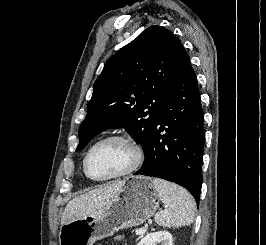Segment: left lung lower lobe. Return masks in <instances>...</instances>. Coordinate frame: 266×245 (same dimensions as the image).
Masks as SVG:
<instances>
[{"label":"left lung lower lobe","instance_id":"0a47b994","mask_svg":"<svg viewBox=\"0 0 266 245\" xmlns=\"http://www.w3.org/2000/svg\"><path fill=\"white\" fill-rule=\"evenodd\" d=\"M203 125L197 77L189 59L160 106L144 151L145 160L134 174L177 183L198 203L205 141Z\"/></svg>","mask_w":266,"mask_h":245}]
</instances>
